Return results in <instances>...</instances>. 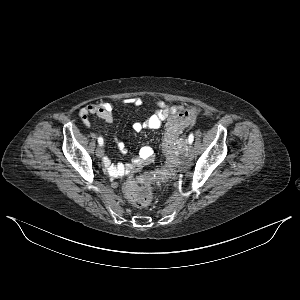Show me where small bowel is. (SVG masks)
<instances>
[{"label": "small bowel", "mask_w": 300, "mask_h": 300, "mask_svg": "<svg viewBox=\"0 0 300 300\" xmlns=\"http://www.w3.org/2000/svg\"><path fill=\"white\" fill-rule=\"evenodd\" d=\"M118 104H131L133 106H140L142 101L140 98H130L127 100H122ZM157 109L153 114H151L145 120H139L134 122L133 130L135 132H140L144 128L157 129L159 128L166 118L176 111V107H170L166 105L163 101L157 102ZM113 109L114 104L109 102L104 103H91L79 111V117L85 127H90V116L97 115L107 122L113 120ZM121 152H125L126 148L122 142L117 144ZM154 159V152L150 147H142L139 150L137 157L131 163H117L113 164L108 157L103 159V166L105 170L112 176H122L128 174L132 170L138 167H142L150 164Z\"/></svg>", "instance_id": "small-bowel-1"}]
</instances>
